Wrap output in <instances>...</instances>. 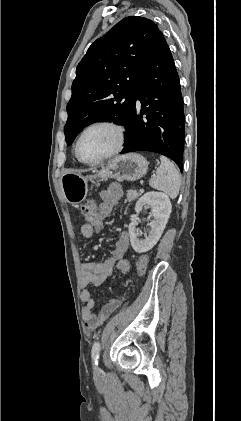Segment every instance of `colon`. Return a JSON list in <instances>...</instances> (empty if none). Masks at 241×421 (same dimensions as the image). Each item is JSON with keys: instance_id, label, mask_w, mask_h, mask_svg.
<instances>
[{"instance_id": "5ec220e1", "label": "colon", "mask_w": 241, "mask_h": 421, "mask_svg": "<svg viewBox=\"0 0 241 421\" xmlns=\"http://www.w3.org/2000/svg\"><path fill=\"white\" fill-rule=\"evenodd\" d=\"M82 215L84 216L86 223L91 225L93 228L94 235L97 236L101 233L103 229V220L99 217L97 213V207L94 201H88L82 206ZM148 264V257L143 255L139 258L137 262V272L139 275H142ZM117 270L122 274H127L131 271L132 265L126 259H120L116 263Z\"/></svg>"}]
</instances>
